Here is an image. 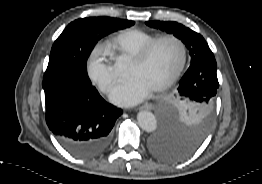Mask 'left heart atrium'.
Segmentation results:
<instances>
[{"label":"left heart atrium","instance_id":"39dd6f15","mask_svg":"<svg viewBox=\"0 0 262 184\" xmlns=\"http://www.w3.org/2000/svg\"><path fill=\"white\" fill-rule=\"evenodd\" d=\"M152 88L137 76L121 81L110 93V100L121 106L135 105L146 99Z\"/></svg>","mask_w":262,"mask_h":184}]
</instances>
